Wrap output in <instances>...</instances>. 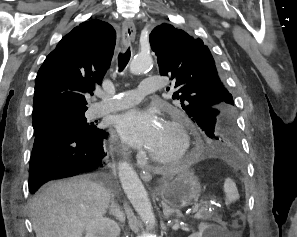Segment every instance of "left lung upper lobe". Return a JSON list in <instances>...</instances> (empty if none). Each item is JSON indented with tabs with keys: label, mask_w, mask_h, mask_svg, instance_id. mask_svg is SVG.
<instances>
[{
	"label": "left lung upper lobe",
	"mask_w": 297,
	"mask_h": 237,
	"mask_svg": "<svg viewBox=\"0 0 297 237\" xmlns=\"http://www.w3.org/2000/svg\"><path fill=\"white\" fill-rule=\"evenodd\" d=\"M151 49L157 55L160 74L168 76L178 100L193 122L229 155L240 151L236 114L231 93L209 48L170 24L150 33Z\"/></svg>",
	"instance_id": "obj_1"
}]
</instances>
